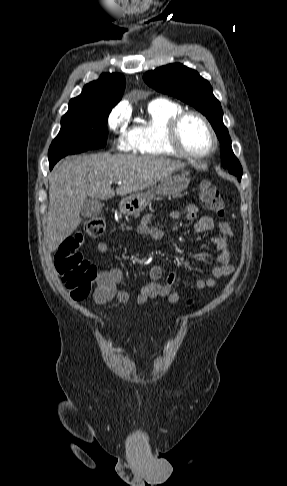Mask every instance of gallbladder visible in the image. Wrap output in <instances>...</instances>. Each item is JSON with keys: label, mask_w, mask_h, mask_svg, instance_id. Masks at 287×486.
I'll use <instances>...</instances> for the list:
<instances>
[{"label": "gallbladder", "mask_w": 287, "mask_h": 486, "mask_svg": "<svg viewBox=\"0 0 287 486\" xmlns=\"http://www.w3.org/2000/svg\"><path fill=\"white\" fill-rule=\"evenodd\" d=\"M103 204L101 200L88 197L81 205V216L84 218H92L99 215L102 211Z\"/></svg>", "instance_id": "obj_1"}]
</instances>
